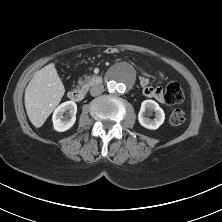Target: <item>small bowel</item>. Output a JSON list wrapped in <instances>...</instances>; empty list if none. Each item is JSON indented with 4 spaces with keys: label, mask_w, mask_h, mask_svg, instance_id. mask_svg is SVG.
<instances>
[{
    "label": "small bowel",
    "mask_w": 222,
    "mask_h": 222,
    "mask_svg": "<svg viewBox=\"0 0 222 222\" xmlns=\"http://www.w3.org/2000/svg\"><path fill=\"white\" fill-rule=\"evenodd\" d=\"M160 76L161 78H163L162 73L160 74ZM139 82L145 96L149 98H154L160 102H164L162 89L160 87L151 85L149 79L146 77H140Z\"/></svg>",
    "instance_id": "c3829d8e"
}]
</instances>
